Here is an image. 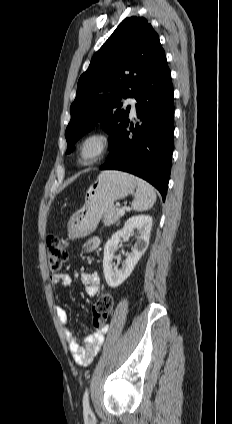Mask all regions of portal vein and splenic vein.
<instances>
[{
  "label": "portal vein and splenic vein",
  "mask_w": 232,
  "mask_h": 424,
  "mask_svg": "<svg viewBox=\"0 0 232 424\" xmlns=\"http://www.w3.org/2000/svg\"><path fill=\"white\" fill-rule=\"evenodd\" d=\"M118 214L123 216L125 214V210L123 208L119 209Z\"/></svg>",
  "instance_id": "obj_1"
}]
</instances>
